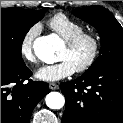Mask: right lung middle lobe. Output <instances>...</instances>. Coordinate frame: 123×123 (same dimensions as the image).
<instances>
[{"mask_svg":"<svg viewBox=\"0 0 123 123\" xmlns=\"http://www.w3.org/2000/svg\"><path fill=\"white\" fill-rule=\"evenodd\" d=\"M47 9H1V64L24 65L21 57L23 39L29 29L43 18Z\"/></svg>","mask_w":123,"mask_h":123,"instance_id":"1","label":"right lung middle lobe"}]
</instances>
